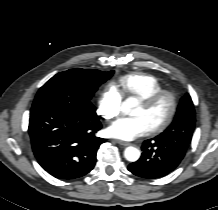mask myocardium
I'll use <instances>...</instances> for the list:
<instances>
[{
  "mask_svg": "<svg viewBox=\"0 0 218 210\" xmlns=\"http://www.w3.org/2000/svg\"><path fill=\"white\" fill-rule=\"evenodd\" d=\"M163 99L168 100L169 111L167 116L161 123L150 128L149 132L152 134L164 131L172 123L177 111V98L173 92L163 89L140 99V104H142L146 108L153 107L156 103Z\"/></svg>",
  "mask_w": 218,
  "mask_h": 210,
  "instance_id": "1",
  "label": "myocardium"
}]
</instances>
